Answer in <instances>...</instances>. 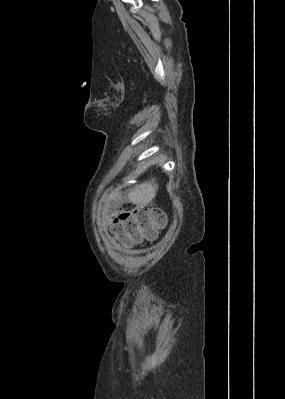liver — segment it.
<instances>
[{"mask_svg": "<svg viewBox=\"0 0 285 399\" xmlns=\"http://www.w3.org/2000/svg\"><path fill=\"white\" fill-rule=\"evenodd\" d=\"M157 191L158 186L152 179L132 188L128 192V199L137 206H146L153 202Z\"/></svg>", "mask_w": 285, "mask_h": 399, "instance_id": "6515ba94", "label": "liver"}]
</instances>
